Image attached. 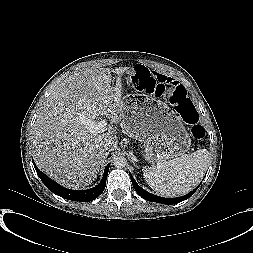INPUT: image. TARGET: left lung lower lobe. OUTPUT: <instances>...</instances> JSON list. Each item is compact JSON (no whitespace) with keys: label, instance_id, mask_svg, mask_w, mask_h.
<instances>
[{"label":"left lung lower lobe","instance_id":"left-lung-lower-lobe-1","mask_svg":"<svg viewBox=\"0 0 253 253\" xmlns=\"http://www.w3.org/2000/svg\"><path fill=\"white\" fill-rule=\"evenodd\" d=\"M130 174V173H129ZM131 177V181L133 184L134 189L136 190V192L145 200L147 201H153V202H157V203H161V204H176L179 203L181 201H184L186 199H188L197 189L198 187H196L192 192L188 193L185 196L182 197H178V198H173V199H168V198H163V197H159L156 195H153L147 191H145L143 188H141L136 181L134 180V178L132 177V175L130 174Z\"/></svg>","mask_w":253,"mask_h":253}]
</instances>
